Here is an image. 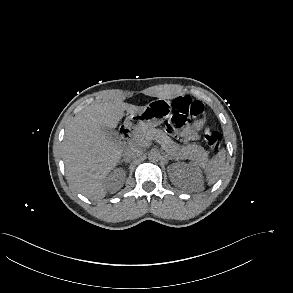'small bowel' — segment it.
<instances>
[{
    "label": "small bowel",
    "instance_id": "small-bowel-1",
    "mask_svg": "<svg viewBox=\"0 0 293 293\" xmlns=\"http://www.w3.org/2000/svg\"><path fill=\"white\" fill-rule=\"evenodd\" d=\"M204 124L203 119H198L189 125L183 133L185 140H196L198 138L197 132L201 129Z\"/></svg>",
    "mask_w": 293,
    "mask_h": 293
}]
</instances>
